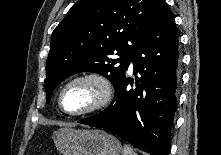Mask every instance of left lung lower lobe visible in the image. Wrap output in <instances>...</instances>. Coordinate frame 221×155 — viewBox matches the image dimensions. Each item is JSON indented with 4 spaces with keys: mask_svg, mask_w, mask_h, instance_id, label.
Returning <instances> with one entry per match:
<instances>
[{
    "mask_svg": "<svg viewBox=\"0 0 221 155\" xmlns=\"http://www.w3.org/2000/svg\"><path fill=\"white\" fill-rule=\"evenodd\" d=\"M178 45L174 16L164 3L130 58L136 88L127 90L133 81L124 76L112 104L79 123L110 130L151 155H168L180 74Z\"/></svg>",
    "mask_w": 221,
    "mask_h": 155,
    "instance_id": "1",
    "label": "left lung lower lobe"
}]
</instances>
